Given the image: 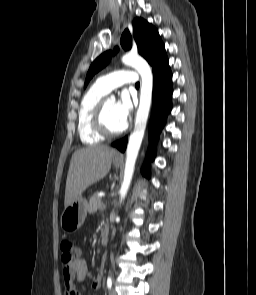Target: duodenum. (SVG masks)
Here are the masks:
<instances>
[{
  "label": "duodenum",
  "instance_id": "410a0bca",
  "mask_svg": "<svg viewBox=\"0 0 256 295\" xmlns=\"http://www.w3.org/2000/svg\"><path fill=\"white\" fill-rule=\"evenodd\" d=\"M107 240H108V227L104 225L101 230V243L105 244Z\"/></svg>",
  "mask_w": 256,
  "mask_h": 295
}]
</instances>
